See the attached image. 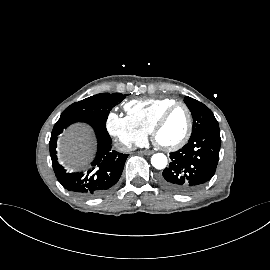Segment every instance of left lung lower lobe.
Masks as SVG:
<instances>
[{
	"instance_id": "1",
	"label": "left lung lower lobe",
	"mask_w": 270,
	"mask_h": 270,
	"mask_svg": "<svg viewBox=\"0 0 270 270\" xmlns=\"http://www.w3.org/2000/svg\"><path fill=\"white\" fill-rule=\"evenodd\" d=\"M221 145L219 130H204L170 153L171 162L160 178L163 186L179 194L201 189L214 175Z\"/></svg>"
}]
</instances>
